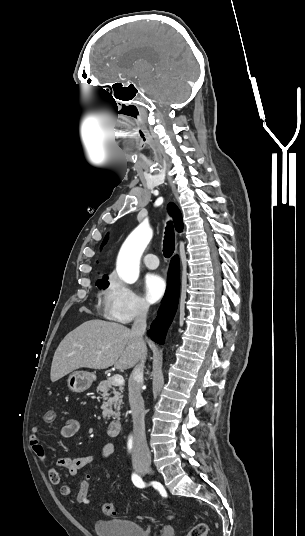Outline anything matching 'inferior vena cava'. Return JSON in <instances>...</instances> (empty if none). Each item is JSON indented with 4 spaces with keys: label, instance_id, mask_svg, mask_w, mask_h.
<instances>
[{
    "label": "inferior vena cava",
    "instance_id": "inferior-vena-cava-1",
    "mask_svg": "<svg viewBox=\"0 0 305 536\" xmlns=\"http://www.w3.org/2000/svg\"><path fill=\"white\" fill-rule=\"evenodd\" d=\"M147 312L148 306H140L136 312V318L133 322L131 330L132 334H134L136 338H143L146 332ZM144 360L145 354H143L142 362L137 364L129 378L128 392L134 430L133 458L134 460H141V462H150V452L147 446L145 434L144 400L141 396L140 390L143 382Z\"/></svg>",
    "mask_w": 305,
    "mask_h": 536
}]
</instances>
